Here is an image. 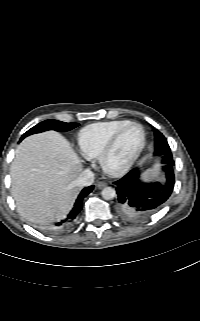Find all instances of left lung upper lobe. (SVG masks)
Segmentation results:
<instances>
[{
  "label": "left lung upper lobe",
  "instance_id": "obj_1",
  "mask_svg": "<svg viewBox=\"0 0 200 321\" xmlns=\"http://www.w3.org/2000/svg\"><path fill=\"white\" fill-rule=\"evenodd\" d=\"M155 132V155L164 157L170 151V147L165 137L158 130L154 129Z\"/></svg>",
  "mask_w": 200,
  "mask_h": 321
}]
</instances>
